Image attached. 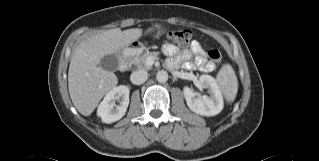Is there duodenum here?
Segmentation results:
<instances>
[{
    "instance_id": "1",
    "label": "duodenum",
    "mask_w": 319,
    "mask_h": 161,
    "mask_svg": "<svg viewBox=\"0 0 319 161\" xmlns=\"http://www.w3.org/2000/svg\"><path fill=\"white\" fill-rule=\"evenodd\" d=\"M129 59H130V54H129V51L127 49V51L122 52L119 56L120 69H124L127 67L128 63H129Z\"/></svg>"
}]
</instances>
